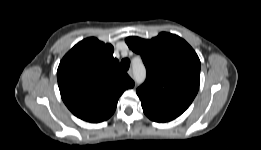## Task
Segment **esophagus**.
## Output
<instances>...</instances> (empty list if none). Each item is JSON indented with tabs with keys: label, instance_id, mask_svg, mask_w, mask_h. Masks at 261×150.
<instances>
[{
	"label": "esophagus",
	"instance_id": "obj_1",
	"mask_svg": "<svg viewBox=\"0 0 261 150\" xmlns=\"http://www.w3.org/2000/svg\"><path fill=\"white\" fill-rule=\"evenodd\" d=\"M128 75H129L131 78H133L134 73H133V70H132V69L128 70Z\"/></svg>",
	"mask_w": 261,
	"mask_h": 150
}]
</instances>
